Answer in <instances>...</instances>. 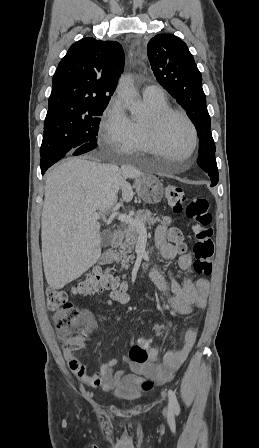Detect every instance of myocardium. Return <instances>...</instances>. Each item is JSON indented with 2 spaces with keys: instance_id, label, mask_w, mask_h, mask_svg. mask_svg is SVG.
<instances>
[{
  "instance_id": "obj_1",
  "label": "myocardium",
  "mask_w": 259,
  "mask_h": 448,
  "mask_svg": "<svg viewBox=\"0 0 259 448\" xmlns=\"http://www.w3.org/2000/svg\"><path fill=\"white\" fill-rule=\"evenodd\" d=\"M173 117L181 118L189 127L192 141L190 146V161L195 162L197 157L196 148L198 145V132L191 118L182 110L175 108H166L158 112H151L144 121V130L150 150H145V154H150L152 150L164 149L161 141V130L164 123ZM150 171H161L151 169Z\"/></svg>"
}]
</instances>
